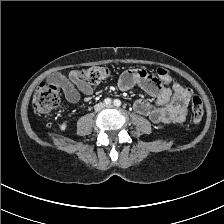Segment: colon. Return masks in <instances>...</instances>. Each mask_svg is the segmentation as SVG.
Instances as JSON below:
<instances>
[{
  "label": "colon",
  "mask_w": 224,
  "mask_h": 224,
  "mask_svg": "<svg viewBox=\"0 0 224 224\" xmlns=\"http://www.w3.org/2000/svg\"><path fill=\"white\" fill-rule=\"evenodd\" d=\"M81 77L89 84L96 85L110 77V70L103 66H90L81 71ZM158 75L165 82H172L173 77L165 69H159ZM59 103V87L54 84L41 83L33 97V107L37 113H48ZM203 101L198 95L191 97L192 121L199 123L203 117Z\"/></svg>",
  "instance_id": "colon-1"
}]
</instances>
